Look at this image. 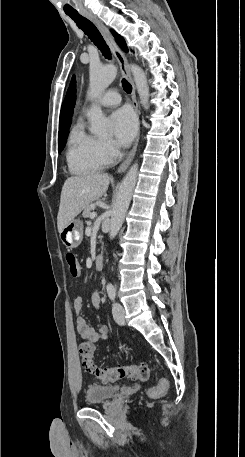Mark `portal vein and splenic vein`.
<instances>
[{
  "mask_svg": "<svg viewBox=\"0 0 245 457\" xmlns=\"http://www.w3.org/2000/svg\"><path fill=\"white\" fill-rule=\"evenodd\" d=\"M94 216H97L96 212H91L90 218H94Z\"/></svg>",
  "mask_w": 245,
  "mask_h": 457,
  "instance_id": "portal-vein-and-splenic-vein-1",
  "label": "portal vein and splenic vein"
}]
</instances>
